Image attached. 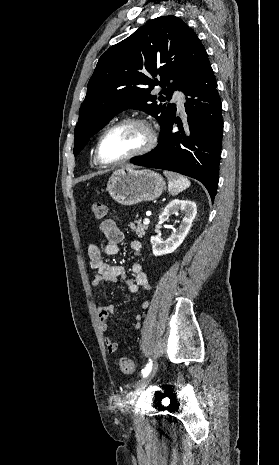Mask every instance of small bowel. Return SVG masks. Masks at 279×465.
Here are the masks:
<instances>
[{"mask_svg": "<svg viewBox=\"0 0 279 465\" xmlns=\"http://www.w3.org/2000/svg\"><path fill=\"white\" fill-rule=\"evenodd\" d=\"M100 231L106 237V244L103 252L106 255L113 256L119 253V245L123 240V233L117 227L113 220L107 219L100 223ZM130 248L135 256H139L141 253L142 245L138 240H133L130 243ZM87 253L90 259V265L93 269L92 285L95 288H102L104 286L117 283L119 279H124L126 274V266L124 265H110L103 261L102 251L95 243H89L87 246ZM131 271L134 278L126 280L127 289L130 293H137L141 288L145 290H151L149 280L146 272L139 262H133L131 264ZM143 308L148 307V302L142 303ZM114 312V305L111 303H105L101 305L97 310V316L100 328L102 331H106L108 328L107 320L110 315ZM136 323L134 330H138L141 327L142 316L137 314L135 316ZM107 352L113 354L118 350V342L113 340L111 337H105L104 339Z\"/></svg>", "mask_w": 279, "mask_h": 465, "instance_id": "obj_1", "label": "small bowel"}]
</instances>
